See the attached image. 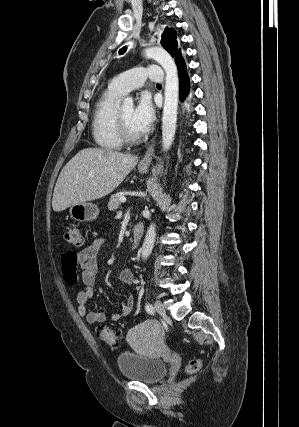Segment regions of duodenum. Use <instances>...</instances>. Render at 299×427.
<instances>
[{
    "label": "duodenum",
    "instance_id": "obj_1",
    "mask_svg": "<svg viewBox=\"0 0 299 427\" xmlns=\"http://www.w3.org/2000/svg\"><path fill=\"white\" fill-rule=\"evenodd\" d=\"M143 234V226L141 223H136L133 226V248H137L141 242Z\"/></svg>",
    "mask_w": 299,
    "mask_h": 427
}]
</instances>
